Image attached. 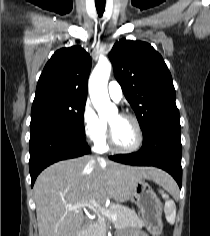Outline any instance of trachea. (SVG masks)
<instances>
[{
    "label": "trachea",
    "instance_id": "obj_1",
    "mask_svg": "<svg viewBox=\"0 0 210 236\" xmlns=\"http://www.w3.org/2000/svg\"><path fill=\"white\" fill-rule=\"evenodd\" d=\"M95 5H96L97 13L101 17L105 10V0H96Z\"/></svg>",
    "mask_w": 210,
    "mask_h": 236
}]
</instances>
